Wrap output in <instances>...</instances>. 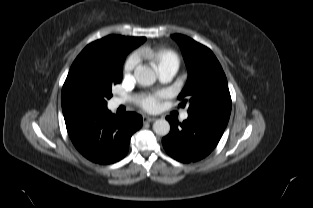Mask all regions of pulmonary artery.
<instances>
[{
	"label": "pulmonary artery",
	"mask_w": 313,
	"mask_h": 208,
	"mask_svg": "<svg viewBox=\"0 0 313 208\" xmlns=\"http://www.w3.org/2000/svg\"><path fill=\"white\" fill-rule=\"evenodd\" d=\"M176 72H177V68L176 67H174V66L166 67V68H164V69L159 71L160 80L162 82H169L175 76ZM121 103H122V101L120 99H114V101H113L114 106H118ZM187 117H188V113L187 112H183L181 114V119L182 120L187 119Z\"/></svg>",
	"instance_id": "obj_1"
}]
</instances>
